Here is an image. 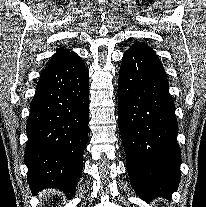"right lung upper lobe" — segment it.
<instances>
[{
  "instance_id": "right-lung-upper-lobe-1",
  "label": "right lung upper lobe",
  "mask_w": 206,
  "mask_h": 207,
  "mask_svg": "<svg viewBox=\"0 0 206 207\" xmlns=\"http://www.w3.org/2000/svg\"><path fill=\"white\" fill-rule=\"evenodd\" d=\"M72 56H76V54L74 52H70L69 50H66L64 48H61L52 56L47 67H50V66L56 65L60 62H63L64 60H66Z\"/></svg>"
}]
</instances>
